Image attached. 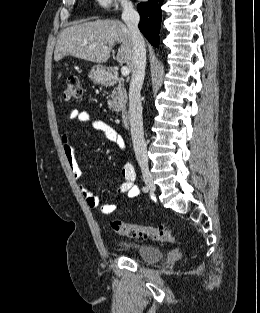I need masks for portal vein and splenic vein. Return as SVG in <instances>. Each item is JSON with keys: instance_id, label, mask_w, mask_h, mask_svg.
<instances>
[{"instance_id": "portal-vein-and-splenic-vein-1", "label": "portal vein and splenic vein", "mask_w": 260, "mask_h": 313, "mask_svg": "<svg viewBox=\"0 0 260 313\" xmlns=\"http://www.w3.org/2000/svg\"><path fill=\"white\" fill-rule=\"evenodd\" d=\"M104 49H105V47H104ZM121 73H122L123 76H128L129 73H130V70H129V68L127 66H123L121 68Z\"/></svg>"}]
</instances>
